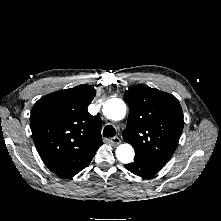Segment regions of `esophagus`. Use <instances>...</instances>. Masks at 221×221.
I'll list each match as a JSON object with an SVG mask.
<instances>
[{
    "label": "esophagus",
    "mask_w": 221,
    "mask_h": 221,
    "mask_svg": "<svg viewBox=\"0 0 221 221\" xmlns=\"http://www.w3.org/2000/svg\"><path fill=\"white\" fill-rule=\"evenodd\" d=\"M109 141L112 146H117L121 143V139L119 137H113Z\"/></svg>",
    "instance_id": "esophagus-1"
}]
</instances>
